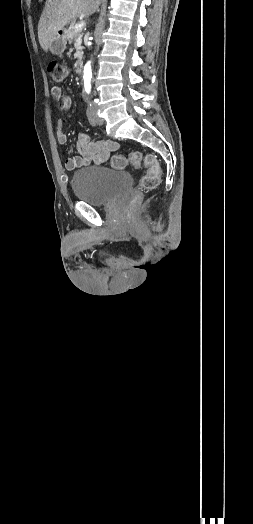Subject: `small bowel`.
Segmentation results:
<instances>
[{
  "mask_svg": "<svg viewBox=\"0 0 253 524\" xmlns=\"http://www.w3.org/2000/svg\"><path fill=\"white\" fill-rule=\"evenodd\" d=\"M51 93L61 109H69L71 107V97L63 95L60 87L54 86L51 89ZM56 138L59 144H67L68 138L65 133V123L63 119L56 121ZM76 138L80 155L66 159L65 167L68 170H74L91 163H103L109 158L110 154L119 147L118 143L112 140L92 141L90 137L83 132H79Z\"/></svg>",
  "mask_w": 253,
  "mask_h": 524,
  "instance_id": "1",
  "label": "small bowel"
}]
</instances>
